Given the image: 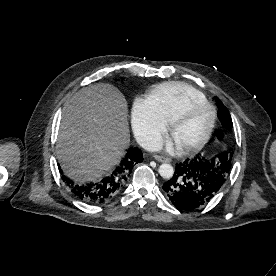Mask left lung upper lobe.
<instances>
[{"label":"left lung upper lobe","instance_id":"1","mask_svg":"<svg viewBox=\"0 0 276 276\" xmlns=\"http://www.w3.org/2000/svg\"><path fill=\"white\" fill-rule=\"evenodd\" d=\"M216 104L219 109L217 112V115L221 121V124L224 127H226L227 129H231L233 127V123H232L229 111L227 110V108L223 105V103L218 98H216ZM217 136L219 139H222V137H223V135L220 131H217ZM232 156H233V151L229 152V154H227L225 152L220 156L219 159L211 160L214 164V167H216V170H220V169L222 170V173L224 174L225 181L227 180L229 173H230ZM225 181H224V183H225Z\"/></svg>","mask_w":276,"mask_h":276}]
</instances>
